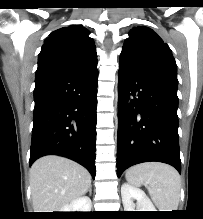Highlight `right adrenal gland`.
Returning a JSON list of instances; mask_svg holds the SVG:
<instances>
[{
	"mask_svg": "<svg viewBox=\"0 0 203 219\" xmlns=\"http://www.w3.org/2000/svg\"><path fill=\"white\" fill-rule=\"evenodd\" d=\"M88 192H89V195L91 196L92 195V185L89 186Z\"/></svg>",
	"mask_w": 203,
	"mask_h": 219,
	"instance_id": "2a0ac1e0",
	"label": "right adrenal gland"
}]
</instances>
